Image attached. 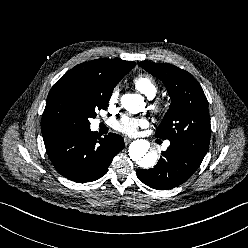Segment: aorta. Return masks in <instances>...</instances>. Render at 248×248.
<instances>
[{"label":"aorta","instance_id":"762f6f07","mask_svg":"<svg viewBox=\"0 0 248 248\" xmlns=\"http://www.w3.org/2000/svg\"><path fill=\"white\" fill-rule=\"evenodd\" d=\"M122 106L130 113H138L144 107V99L139 94H125L121 97ZM150 143L145 139H137L129 146V156L145 169L153 167L158 159L156 151L149 152Z\"/></svg>","mask_w":248,"mask_h":248}]
</instances>
